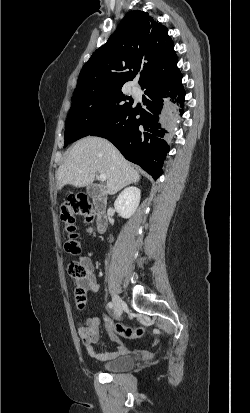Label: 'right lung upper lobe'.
Wrapping results in <instances>:
<instances>
[{
	"label": "right lung upper lobe",
	"mask_w": 250,
	"mask_h": 413,
	"mask_svg": "<svg viewBox=\"0 0 250 413\" xmlns=\"http://www.w3.org/2000/svg\"><path fill=\"white\" fill-rule=\"evenodd\" d=\"M175 70L177 57L168 29L147 12L135 10L85 63L74 94L122 88L138 71L142 85Z\"/></svg>",
	"instance_id": "obj_1"
}]
</instances>
